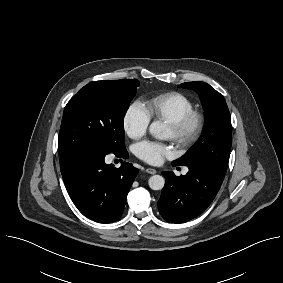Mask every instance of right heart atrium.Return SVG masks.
<instances>
[{
    "instance_id": "1",
    "label": "right heart atrium",
    "mask_w": 283,
    "mask_h": 283,
    "mask_svg": "<svg viewBox=\"0 0 283 283\" xmlns=\"http://www.w3.org/2000/svg\"><path fill=\"white\" fill-rule=\"evenodd\" d=\"M150 116L140 101L132 102L125 111L123 126L126 134L132 139L145 135L150 124Z\"/></svg>"
}]
</instances>
